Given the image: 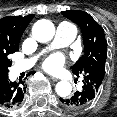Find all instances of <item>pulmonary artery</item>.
Returning <instances> with one entry per match:
<instances>
[{"label":"pulmonary artery","mask_w":117,"mask_h":117,"mask_svg":"<svg viewBox=\"0 0 117 117\" xmlns=\"http://www.w3.org/2000/svg\"><path fill=\"white\" fill-rule=\"evenodd\" d=\"M77 35V28L70 22L63 21L56 28L55 37L51 43V47H64L71 44ZM34 58L18 61L15 65L17 72L27 70L32 67Z\"/></svg>","instance_id":"e3ab8cb5"}]
</instances>
